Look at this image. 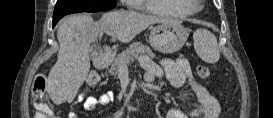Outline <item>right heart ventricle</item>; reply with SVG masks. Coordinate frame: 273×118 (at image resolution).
Wrapping results in <instances>:
<instances>
[{
    "mask_svg": "<svg viewBox=\"0 0 273 118\" xmlns=\"http://www.w3.org/2000/svg\"><path fill=\"white\" fill-rule=\"evenodd\" d=\"M145 4L146 9L157 14L175 17L189 16V9L185 0H140L135 1V7L139 8Z\"/></svg>",
    "mask_w": 273,
    "mask_h": 118,
    "instance_id": "1",
    "label": "right heart ventricle"
}]
</instances>
